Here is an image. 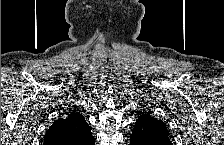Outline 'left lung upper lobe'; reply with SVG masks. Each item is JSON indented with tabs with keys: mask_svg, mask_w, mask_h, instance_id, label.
<instances>
[{
	"mask_svg": "<svg viewBox=\"0 0 224 145\" xmlns=\"http://www.w3.org/2000/svg\"><path fill=\"white\" fill-rule=\"evenodd\" d=\"M142 116V115H141ZM143 116H146V117H149V120H152L154 122V126L157 130H159L163 136L167 139H169V133H168V130L165 126V124L161 121V120H158V119H155V118H152L150 117L148 114L147 115H144Z\"/></svg>",
	"mask_w": 224,
	"mask_h": 145,
	"instance_id": "obj_1",
	"label": "left lung upper lobe"
}]
</instances>
